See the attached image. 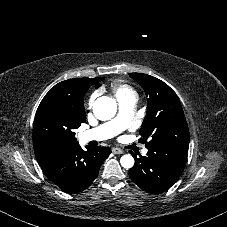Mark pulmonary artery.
Instances as JSON below:
<instances>
[{
    "mask_svg": "<svg viewBox=\"0 0 227 227\" xmlns=\"http://www.w3.org/2000/svg\"><path fill=\"white\" fill-rule=\"evenodd\" d=\"M135 102L136 99H128L120 102V112L118 116L94 129L81 133V142L87 143L93 140H107L121 133L133 120ZM142 154H147V150L144 149Z\"/></svg>",
    "mask_w": 227,
    "mask_h": 227,
    "instance_id": "obj_1",
    "label": "pulmonary artery"
}]
</instances>
